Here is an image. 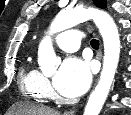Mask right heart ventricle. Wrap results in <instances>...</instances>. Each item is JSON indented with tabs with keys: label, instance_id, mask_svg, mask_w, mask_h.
<instances>
[{
	"label": "right heart ventricle",
	"instance_id": "right-heart-ventricle-1",
	"mask_svg": "<svg viewBox=\"0 0 131 115\" xmlns=\"http://www.w3.org/2000/svg\"><path fill=\"white\" fill-rule=\"evenodd\" d=\"M44 76L30 61H26L19 73L20 91L29 100H39L45 93L42 90Z\"/></svg>",
	"mask_w": 131,
	"mask_h": 115
}]
</instances>
